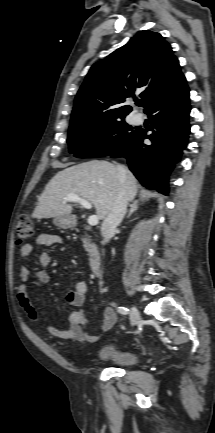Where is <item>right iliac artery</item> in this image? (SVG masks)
I'll list each match as a JSON object with an SVG mask.
<instances>
[{
  "label": "right iliac artery",
  "instance_id": "1",
  "mask_svg": "<svg viewBox=\"0 0 215 433\" xmlns=\"http://www.w3.org/2000/svg\"><path fill=\"white\" fill-rule=\"evenodd\" d=\"M117 311H118L120 314H123V315H126V314L129 313V309L126 308V307H122V306L118 307V308H117Z\"/></svg>",
  "mask_w": 215,
  "mask_h": 433
}]
</instances>
